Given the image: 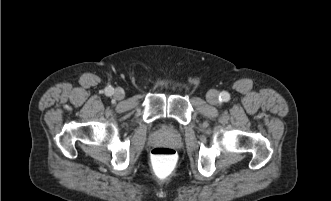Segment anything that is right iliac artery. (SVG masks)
Instances as JSON below:
<instances>
[{
	"label": "right iliac artery",
	"mask_w": 331,
	"mask_h": 201,
	"mask_svg": "<svg viewBox=\"0 0 331 201\" xmlns=\"http://www.w3.org/2000/svg\"><path fill=\"white\" fill-rule=\"evenodd\" d=\"M105 94H106L107 96H112V95L114 94V89H113L112 87H107V88L105 89Z\"/></svg>",
	"instance_id": "82829eb1"
}]
</instances>
